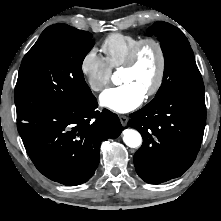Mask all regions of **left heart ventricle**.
Masks as SVG:
<instances>
[{
	"label": "left heart ventricle",
	"mask_w": 221,
	"mask_h": 221,
	"mask_svg": "<svg viewBox=\"0 0 221 221\" xmlns=\"http://www.w3.org/2000/svg\"><path fill=\"white\" fill-rule=\"evenodd\" d=\"M158 65L156 48L153 45H147L142 49L136 65L131 69L122 70L121 83H133L146 93L155 81Z\"/></svg>",
	"instance_id": "left-heart-ventricle-1"
}]
</instances>
